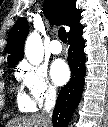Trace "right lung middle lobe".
Listing matches in <instances>:
<instances>
[{
	"instance_id": "right-lung-middle-lobe-1",
	"label": "right lung middle lobe",
	"mask_w": 108,
	"mask_h": 127,
	"mask_svg": "<svg viewBox=\"0 0 108 127\" xmlns=\"http://www.w3.org/2000/svg\"><path fill=\"white\" fill-rule=\"evenodd\" d=\"M15 65H13V66H9V67H11V68H13Z\"/></svg>"
}]
</instances>
